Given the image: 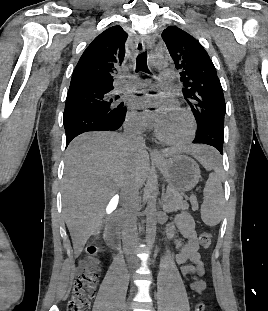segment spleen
Returning a JSON list of instances; mask_svg holds the SVG:
<instances>
[{
    "instance_id": "obj_1",
    "label": "spleen",
    "mask_w": 268,
    "mask_h": 311,
    "mask_svg": "<svg viewBox=\"0 0 268 311\" xmlns=\"http://www.w3.org/2000/svg\"><path fill=\"white\" fill-rule=\"evenodd\" d=\"M197 159L207 171L213 170L209 174L205 184L203 194L204 201L201 205L202 221L208 226H216L220 223L224 211V193L222 189L223 170L219 161V154L216 148H211L210 144H195Z\"/></svg>"
}]
</instances>
